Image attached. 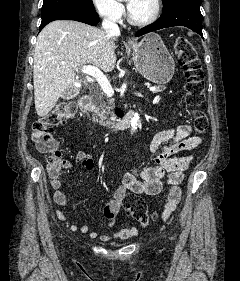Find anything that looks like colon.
I'll list each match as a JSON object with an SVG mask.
<instances>
[{"label": "colon", "instance_id": "colon-1", "mask_svg": "<svg viewBox=\"0 0 240 281\" xmlns=\"http://www.w3.org/2000/svg\"><path fill=\"white\" fill-rule=\"evenodd\" d=\"M174 52L185 76V101L192 108L194 128L202 134L208 128V118L198 107L204 100V75L191 41L179 36L174 42ZM76 112V104L72 101H63L46 116L34 122L32 140L37 150L46 156V162L51 174L60 171L62 162L57 140L53 136V129L71 119ZM125 211L142 225L149 223V215L145 201L134 194L127 195L122 203Z\"/></svg>", "mask_w": 240, "mask_h": 281}]
</instances>
